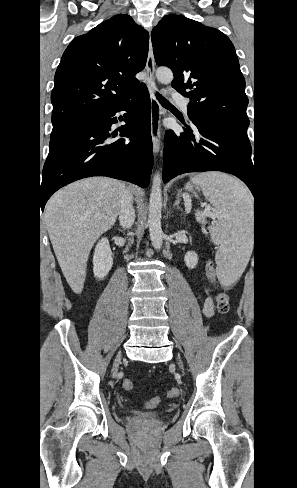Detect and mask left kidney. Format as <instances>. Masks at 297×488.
Returning <instances> with one entry per match:
<instances>
[{
  "label": "left kidney",
  "instance_id": "obj_1",
  "mask_svg": "<svg viewBox=\"0 0 297 488\" xmlns=\"http://www.w3.org/2000/svg\"><path fill=\"white\" fill-rule=\"evenodd\" d=\"M184 262L189 269H194L198 264V255L194 251H188L184 256Z\"/></svg>",
  "mask_w": 297,
  "mask_h": 488
}]
</instances>
